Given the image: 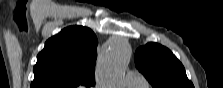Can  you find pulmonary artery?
I'll return each instance as SVG.
<instances>
[{"label":"pulmonary artery","mask_w":223,"mask_h":88,"mask_svg":"<svg viewBox=\"0 0 223 88\" xmlns=\"http://www.w3.org/2000/svg\"><path fill=\"white\" fill-rule=\"evenodd\" d=\"M146 80L142 74L139 72H128L124 81L123 85L130 87V88H138V87H145Z\"/></svg>","instance_id":"e3ab8cb5"}]
</instances>
